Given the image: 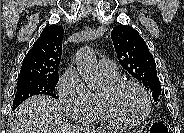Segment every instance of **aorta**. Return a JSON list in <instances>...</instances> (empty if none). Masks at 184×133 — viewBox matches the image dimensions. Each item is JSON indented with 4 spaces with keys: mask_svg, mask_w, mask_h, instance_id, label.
Wrapping results in <instances>:
<instances>
[{
    "mask_svg": "<svg viewBox=\"0 0 184 133\" xmlns=\"http://www.w3.org/2000/svg\"><path fill=\"white\" fill-rule=\"evenodd\" d=\"M76 68L82 79L90 89H97L100 85V77L97 60L94 51L89 46L80 48L76 55Z\"/></svg>",
    "mask_w": 184,
    "mask_h": 133,
    "instance_id": "1",
    "label": "aorta"
}]
</instances>
